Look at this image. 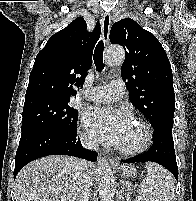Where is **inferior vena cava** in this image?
Listing matches in <instances>:
<instances>
[{
	"label": "inferior vena cava",
	"mask_w": 196,
	"mask_h": 201,
	"mask_svg": "<svg viewBox=\"0 0 196 201\" xmlns=\"http://www.w3.org/2000/svg\"><path fill=\"white\" fill-rule=\"evenodd\" d=\"M82 146L89 150H98L97 143L83 138L81 140ZM88 163L84 160H78L75 163L74 169V186H73V199L74 201H89L91 193V180L88 176Z\"/></svg>",
	"instance_id": "inferior-vena-cava-1"
}]
</instances>
